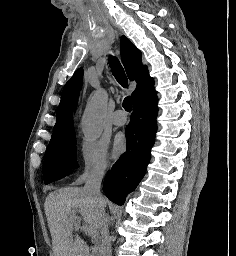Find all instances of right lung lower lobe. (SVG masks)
Segmentation results:
<instances>
[{"label":"right lung lower lobe","mask_w":236,"mask_h":256,"mask_svg":"<svg viewBox=\"0 0 236 256\" xmlns=\"http://www.w3.org/2000/svg\"><path fill=\"white\" fill-rule=\"evenodd\" d=\"M157 95L154 87L133 102V114L126 126V152L105 177L103 190L115 204L123 205L143 178L157 130Z\"/></svg>","instance_id":"1"}]
</instances>
